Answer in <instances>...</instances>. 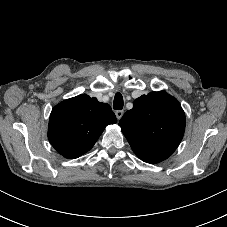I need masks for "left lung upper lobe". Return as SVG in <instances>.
Returning a JSON list of instances; mask_svg holds the SVG:
<instances>
[{
	"label": "left lung upper lobe",
	"mask_w": 227,
	"mask_h": 227,
	"mask_svg": "<svg viewBox=\"0 0 227 227\" xmlns=\"http://www.w3.org/2000/svg\"><path fill=\"white\" fill-rule=\"evenodd\" d=\"M119 126L134 153L144 162L167 159L180 144L185 114L178 101L166 92H151L134 101Z\"/></svg>",
	"instance_id": "left-lung-upper-lobe-1"
}]
</instances>
